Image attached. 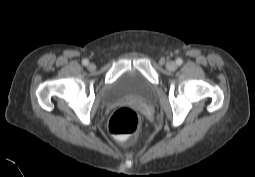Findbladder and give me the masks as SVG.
I'll use <instances>...</instances> for the list:
<instances>
[{"mask_svg":"<svg viewBox=\"0 0 255 177\" xmlns=\"http://www.w3.org/2000/svg\"><path fill=\"white\" fill-rule=\"evenodd\" d=\"M154 98V85L136 70H128L107 86L101 97V103L109 105L124 99L150 103Z\"/></svg>","mask_w":255,"mask_h":177,"instance_id":"31cf9c89","label":"bladder"}]
</instances>
